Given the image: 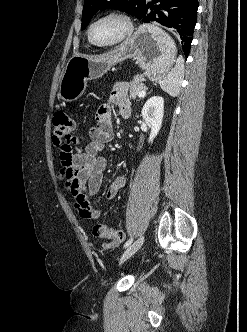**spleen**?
<instances>
[{
  "label": "spleen",
  "instance_id": "obj_1",
  "mask_svg": "<svg viewBox=\"0 0 247 332\" xmlns=\"http://www.w3.org/2000/svg\"><path fill=\"white\" fill-rule=\"evenodd\" d=\"M184 76V59L179 56L176 65L171 71L160 80V87L163 91L175 97L180 93L181 81Z\"/></svg>",
  "mask_w": 247,
  "mask_h": 332
}]
</instances>
